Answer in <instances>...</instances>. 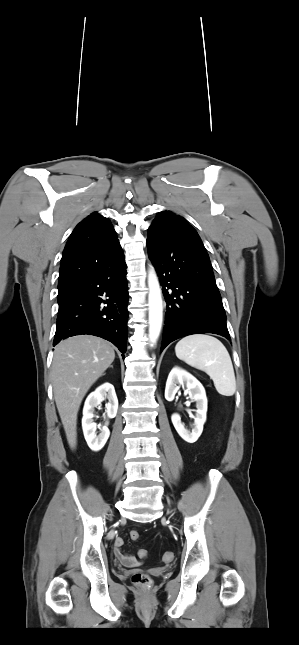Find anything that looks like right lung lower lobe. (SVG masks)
<instances>
[{
	"mask_svg": "<svg viewBox=\"0 0 299 645\" xmlns=\"http://www.w3.org/2000/svg\"><path fill=\"white\" fill-rule=\"evenodd\" d=\"M103 297H108L106 300ZM128 286L124 256L61 291L53 345L74 335H94L127 346ZM124 356V355H123Z\"/></svg>",
	"mask_w": 299,
	"mask_h": 645,
	"instance_id": "obj_1",
	"label": "right lung lower lobe"
}]
</instances>
